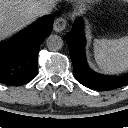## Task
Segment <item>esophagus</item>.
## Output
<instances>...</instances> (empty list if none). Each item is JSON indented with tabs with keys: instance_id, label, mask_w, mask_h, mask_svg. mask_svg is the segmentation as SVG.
I'll return each instance as SVG.
<instances>
[{
	"instance_id": "34e87169",
	"label": "esophagus",
	"mask_w": 128,
	"mask_h": 128,
	"mask_svg": "<svg viewBox=\"0 0 128 128\" xmlns=\"http://www.w3.org/2000/svg\"><path fill=\"white\" fill-rule=\"evenodd\" d=\"M67 20L63 17H59L57 18L55 21H54V24H53V29L56 31V32H61L63 31L66 26H67Z\"/></svg>"
}]
</instances>
